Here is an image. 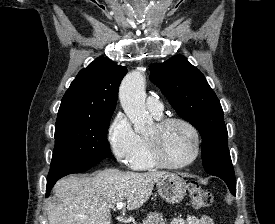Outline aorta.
I'll list each match as a JSON object with an SVG mask.
<instances>
[{
    "label": "aorta",
    "mask_w": 275,
    "mask_h": 224,
    "mask_svg": "<svg viewBox=\"0 0 275 224\" xmlns=\"http://www.w3.org/2000/svg\"><path fill=\"white\" fill-rule=\"evenodd\" d=\"M119 99L136 133H144L151 128L153 121L145 106V77L141 71L135 70L126 75L120 85Z\"/></svg>",
    "instance_id": "aorta-1"
}]
</instances>
